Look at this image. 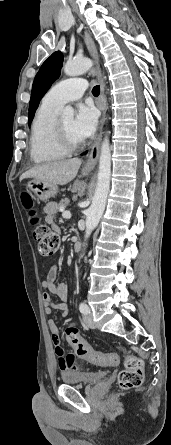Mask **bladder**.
Masks as SVG:
<instances>
[{"label":"bladder","mask_w":171,"mask_h":445,"mask_svg":"<svg viewBox=\"0 0 171 445\" xmlns=\"http://www.w3.org/2000/svg\"><path fill=\"white\" fill-rule=\"evenodd\" d=\"M107 376V371H80V372H63L62 380L68 385H91L103 380Z\"/></svg>","instance_id":"31cf9c89"}]
</instances>
